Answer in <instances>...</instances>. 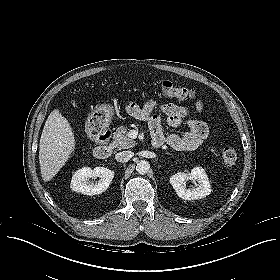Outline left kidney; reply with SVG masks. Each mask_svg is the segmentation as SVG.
I'll use <instances>...</instances> for the list:
<instances>
[{
	"instance_id": "5707ae66",
	"label": "left kidney",
	"mask_w": 280,
	"mask_h": 280,
	"mask_svg": "<svg viewBox=\"0 0 280 280\" xmlns=\"http://www.w3.org/2000/svg\"><path fill=\"white\" fill-rule=\"evenodd\" d=\"M197 182L194 187L187 189L185 181ZM170 184L176 194L184 200H197L211 193V185L205 170L202 167H194L191 173L179 172L170 177Z\"/></svg>"
}]
</instances>
